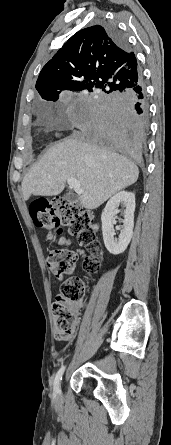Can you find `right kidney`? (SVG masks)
Here are the masks:
<instances>
[{
  "mask_svg": "<svg viewBox=\"0 0 171 445\" xmlns=\"http://www.w3.org/2000/svg\"><path fill=\"white\" fill-rule=\"evenodd\" d=\"M125 207L123 227L118 240L114 239L113 219L118 213L117 207ZM135 195L132 192L120 191L107 202L101 215L102 234L106 249L113 255L123 253L131 241L134 227Z\"/></svg>",
  "mask_w": 171,
  "mask_h": 445,
  "instance_id": "obj_1",
  "label": "right kidney"
}]
</instances>
